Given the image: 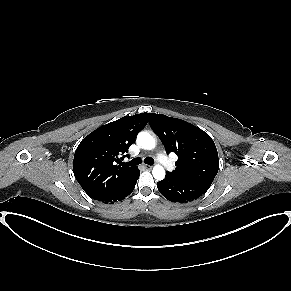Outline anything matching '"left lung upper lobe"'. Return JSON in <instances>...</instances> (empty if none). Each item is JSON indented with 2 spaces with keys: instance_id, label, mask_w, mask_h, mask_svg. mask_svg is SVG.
Returning <instances> with one entry per match:
<instances>
[{
  "instance_id": "left-lung-upper-lobe-1",
  "label": "left lung upper lobe",
  "mask_w": 291,
  "mask_h": 291,
  "mask_svg": "<svg viewBox=\"0 0 291 291\" xmlns=\"http://www.w3.org/2000/svg\"><path fill=\"white\" fill-rule=\"evenodd\" d=\"M149 124L162 141L167 154L178 156L176 169L167 174L210 186L219 169L212 138L200 128L178 118L149 114Z\"/></svg>"
}]
</instances>
